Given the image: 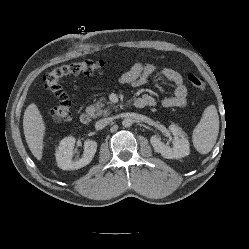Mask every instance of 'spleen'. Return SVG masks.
<instances>
[{
	"label": "spleen",
	"mask_w": 249,
	"mask_h": 249,
	"mask_svg": "<svg viewBox=\"0 0 249 249\" xmlns=\"http://www.w3.org/2000/svg\"><path fill=\"white\" fill-rule=\"evenodd\" d=\"M219 133V116L215 105L208 106L192 134L195 149L201 154H207L216 143Z\"/></svg>",
	"instance_id": "3e777b00"
}]
</instances>
